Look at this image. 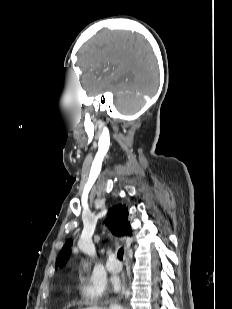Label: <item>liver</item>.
I'll return each instance as SVG.
<instances>
[{
	"instance_id": "6515ba94",
	"label": "liver",
	"mask_w": 232,
	"mask_h": 309,
	"mask_svg": "<svg viewBox=\"0 0 232 309\" xmlns=\"http://www.w3.org/2000/svg\"><path fill=\"white\" fill-rule=\"evenodd\" d=\"M86 309H105V308H101V307H88Z\"/></svg>"
}]
</instances>
